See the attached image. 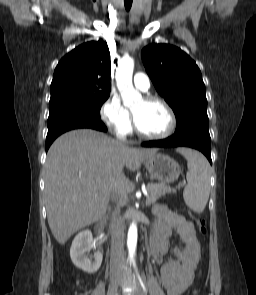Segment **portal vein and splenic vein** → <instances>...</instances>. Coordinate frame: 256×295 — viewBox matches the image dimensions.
<instances>
[{"label":"portal vein and splenic vein","instance_id":"portal-vein-and-splenic-vein-1","mask_svg":"<svg viewBox=\"0 0 256 295\" xmlns=\"http://www.w3.org/2000/svg\"><path fill=\"white\" fill-rule=\"evenodd\" d=\"M146 204H147V205L150 204V197L147 198V200H146Z\"/></svg>","mask_w":256,"mask_h":295}]
</instances>
